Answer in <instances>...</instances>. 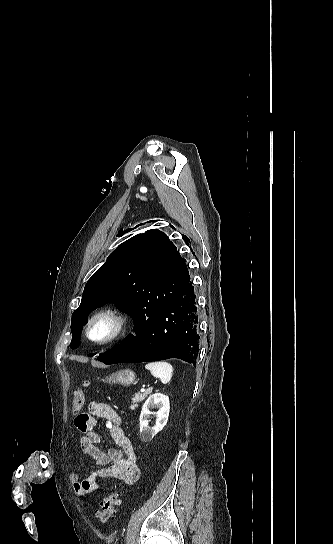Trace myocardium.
Instances as JSON below:
<instances>
[{
	"label": "myocardium",
	"instance_id": "myocardium-1",
	"mask_svg": "<svg viewBox=\"0 0 333 544\" xmlns=\"http://www.w3.org/2000/svg\"><path fill=\"white\" fill-rule=\"evenodd\" d=\"M101 319H107L111 325V332L102 339H94L91 336V329L93 325ZM126 328V316L119 309L113 306H105L95 311L89 318L85 327V336L93 344L106 345L117 340L125 331Z\"/></svg>",
	"mask_w": 333,
	"mask_h": 544
}]
</instances>
